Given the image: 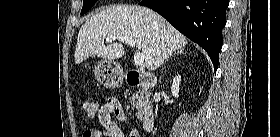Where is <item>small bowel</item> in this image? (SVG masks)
<instances>
[{
  "label": "small bowel",
  "instance_id": "c3829d8e",
  "mask_svg": "<svg viewBox=\"0 0 280 137\" xmlns=\"http://www.w3.org/2000/svg\"><path fill=\"white\" fill-rule=\"evenodd\" d=\"M125 121L126 115L115 97H108L98 113V120L101 128L86 130L83 137H123V132L119 125L113 120ZM138 133L132 131L130 137H136Z\"/></svg>",
  "mask_w": 280,
  "mask_h": 137
}]
</instances>
